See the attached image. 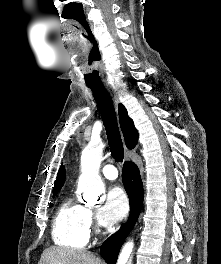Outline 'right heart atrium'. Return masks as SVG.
<instances>
[{"label":"right heart atrium","mask_w":221,"mask_h":264,"mask_svg":"<svg viewBox=\"0 0 221 264\" xmlns=\"http://www.w3.org/2000/svg\"><path fill=\"white\" fill-rule=\"evenodd\" d=\"M88 218H89V224L90 226H92L94 224V217L92 213L89 212Z\"/></svg>","instance_id":"d8ad5b80"}]
</instances>
